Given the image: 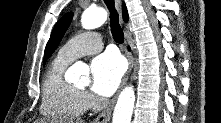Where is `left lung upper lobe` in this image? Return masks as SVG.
I'll use <instances>...</instances> for the list:
<instances>
[{"label":"left lung upper lobe","instance_id":"left-lung-upper-lobe-1","mask_svg":"<svg viewBox=\"0 0 221 123\" xmlns=\"http://www.w3.org/2000/svg\"><path fill=\"white\" fill-rule=\"evenodd\" d=\"M73 13L69 12L65 14L55 25L50 39L46 45L45 53H44V63L46 60L53 54V52L58 47L61 42L66 30L68 29L71 21H72Z\"/></svg>","mask_w":221,"mask_h":123}]
</instances>
